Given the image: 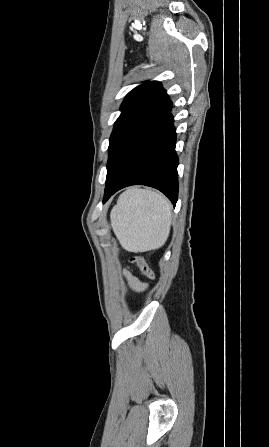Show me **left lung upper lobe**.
Listing matches in <instances>:
<instances>
[{"mask_svg":"<svg viewBox=\"0 0 269 447\" xmlns=\"http://www.w3.org/2000/svg\"><path fill=\"white\" fill-rule=\"evenodd\" d=\"M171 104L156 81L146 82L126 96L110 137L106 185L112 182L134 148L169 112Z\"/></svg>","mask_w":269,"mask_h":447,"instance_id":"1","label":"left lung upper lobe"}]
</instances>
